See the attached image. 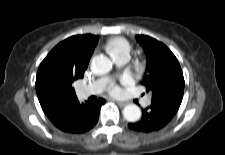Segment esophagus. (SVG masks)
<instances>
[{
    "instance_id": "esophagus-1",
    "label": "esophagus",
    "mask_w": 225,
    "mask_h": 155,
    "mask_svg": "<svg viewBox=\"0 0 225 155\" xmlns=\"http://www.w3.org/2000/svg\"><path fill=\"white\" fill-rule=\"evenodd\" d=\"M120 107H124L127 103L123 101H115Z\"/></svg>"
}]
</instances>
